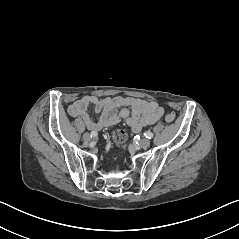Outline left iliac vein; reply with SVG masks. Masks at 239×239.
<instances>
[{
    "label": "left iliac vein",
    "instance_id": "obj_1",
    "mask_svg": "<svg viewBox=\"0 0 239 239\" xmlns=\"http://www.w3.org/2000/svg\"><path fill=\"white\" fill-rule=\"evenodd\" d=\"M150 145V140L147 138H143L139 141V146L142 148H147Z\"/></svg>",
    "mask_w": 239,
    "mask_h": 239
}]
</instances>
